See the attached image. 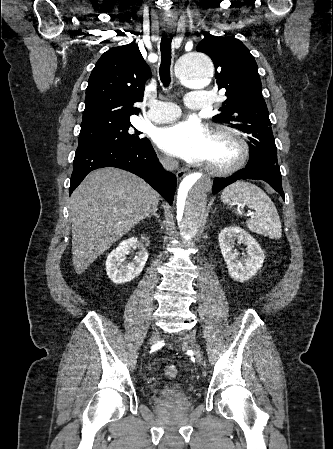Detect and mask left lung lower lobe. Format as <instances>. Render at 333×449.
I'll list each match as a JSON object with an SVG mask.
<instances>
[{"mask_svg": "<svg viewBox=\"0 0 333 449\" xmlns=\"http://www.w3.org/2000/svg\"><path fill=\"white\" fill-rule=\"evenodd\" d=\"M240 179H260L270 184L283 199L282 177L279 166H248L232 176L226 178H215L212 192L217 194L221 189Z\"/></svg>", "mask_w": 333, "mask_h": 449, "instance_id": "left-lung-lower-lobe-1", "label": "left lung lower lobe"}]
</instances>
